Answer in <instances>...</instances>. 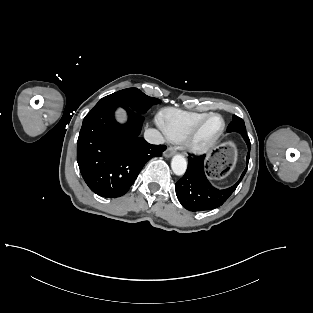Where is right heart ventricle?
Instances as JSON below:
<instances>
[{
	"mask_svg": "<svg viewBox=\"0 0 313 313\" xmlns=\"http://www.w3.org/2000/svg\"><path fill=\"white\" fill-rule=\"evenodd\" d=\"M207 115V113L165 109L160 113L159 124L170 141L180 142Z\"/></svg>",
	"mask_w": 313,
	"mask_h": 313,
	"instance_id": "obj_1",
	"label": "right heart ventricle"
}]
</instances>
